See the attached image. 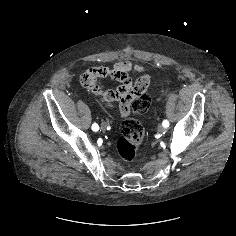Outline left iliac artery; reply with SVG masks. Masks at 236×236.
I'll return each instance as SVG.
<instances>
[{
  "instance_id": "obj_1",
  "label": "left iliac artery",
  "mask_w": 236,
  "mask_h": 236,
  "mask_svg": "<svg viewBox=\"0 0 236 236\" xmlns=\"http://www.w3.org/2000/svg\"><path fill=\"white\" fill-rule=\"evenodd\" d=\"M163 127L168 128L169 127V122L168 120H164L162 123Z\"/></svg>"
}]
</instances>
